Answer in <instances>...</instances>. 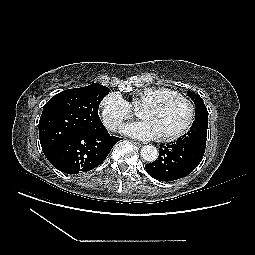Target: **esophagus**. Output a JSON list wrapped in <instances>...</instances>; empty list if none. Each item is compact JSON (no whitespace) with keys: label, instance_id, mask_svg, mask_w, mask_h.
I'll list each match as a JSON object with an SVG mask.
<instances>
[{"label":"esophagus","instance_id":"obj_1","mask_svg":"<svg viewBox=\"0 0 255 255\" xmlns=\"http://www.w3.org/2000/svg\"><path fill=\"white\" fill-rule=\"evenodd\" d=\"M136 146L138 147H142L143 144L141 142H138V141H132Z\"/></svg>","mask_w":255,"mask_h":255}]
</instances>
